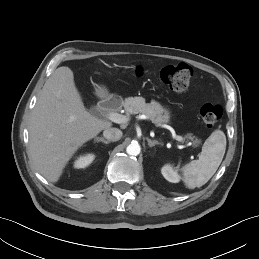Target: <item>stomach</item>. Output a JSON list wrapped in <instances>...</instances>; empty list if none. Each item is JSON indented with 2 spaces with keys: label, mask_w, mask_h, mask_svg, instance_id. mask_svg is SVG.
<instances>
[{
  "label": "stomach",
  "mask_w": 259,
  "mask_h": 259,
  "mask_svg": "<svg viewBox=\"0 0 259 259\" xmlns=\"http://www.w3.org/2000/svg\"><path fill=\"white\" fill-rule=\"evenodd\" d=\"M99 93L100 94H104L105 93V90L103 89V88H100L99 89ZM170 110L169 109H166V108H162V113H161V115L162 116H164L166 119H167V121L169 120V118H170Z\"/></svg>",
  "instance_id": "0dacf381"
}]
</instances>
